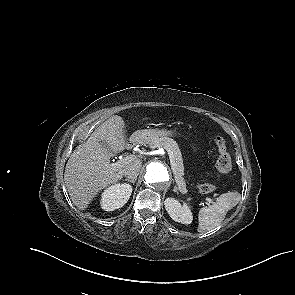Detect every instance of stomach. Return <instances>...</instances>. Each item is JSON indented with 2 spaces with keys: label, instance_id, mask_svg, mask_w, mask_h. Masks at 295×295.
I'll list each match as a JSON object with an SVG mask.
<instances>
[{
  "label": "stomach",
  "instance_id": "obj_1",
  "mask_svg": "<svg viewBox=\"0 0 295 295\" xmlns=\"http://www.w3.org/2000/svg\"><path fill=\"white\" fill-rule=\"evenodd\" d=\"M182 137L183 135L177 130L169 129H144L136 131L132 140L141 144H148L162 137Z\"/></svg>",
  "mask_w": 295,
  "mask_h": 295
}]
</instances>
